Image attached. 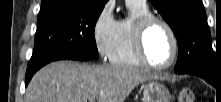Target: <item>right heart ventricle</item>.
I'll return each mask as SVG.
<instances>
[{
  "instance_id": "right-heart-ventricle-1",
  "label": "right heart ventricle",
  "mask_w": 221,
  "mask_h": 102,
  "mask_svg": "<svg viewBox=\"0 0 221 102\" xmlns=\"http://www.w3.org/2000/svg\"><path fill=\"white\" fill-rule=\"evenodd\" d=\"M127 4L131 15L129 18L118 21L117 36L110 61L115 65L137 67L140 66L141 63L136 58L133 50V25L138 18L150 15L151 13L147 6H140L134 3Z\"/></svg>"
}]
</instances>
